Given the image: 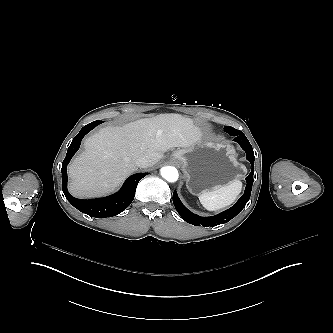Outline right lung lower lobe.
Listing matches in <instances>:
<instances>
[{"mask_svg":"<svg viewBox=\"0 0 333 333\" xmlns=\"http://www.w3.org/2000/svg\"><path fill=\"white\" fill-rule=\"evenodd\" d=\"M103 121H94L84 126L68 147L66 157L62 163L63 193L66 199L79 211L91 217L106 218L116 216L124 211L133 201L138 182L148 173H137L130 176L121 190L111 196L98 199L81 200L71 196L67 190V165L80 147L83 137Z\"/></svg>","mask_w":333,"mask_h":333,"instance_id":"right-lung-lower-lobe-1","label":"right lung lower lobe"}]
</instances>
